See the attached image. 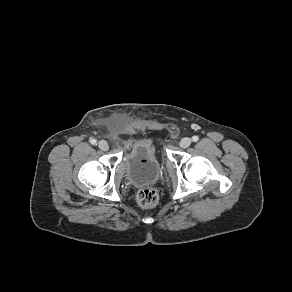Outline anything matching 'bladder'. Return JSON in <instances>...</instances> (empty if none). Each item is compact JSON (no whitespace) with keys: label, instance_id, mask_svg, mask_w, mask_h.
<instances>
[{"label":"bladder","instance_id":"bladder-1","mask_svg":"<svg viewBox=\"0 0 292 292\" xmlns=\"http://www.w3.org/2000/svg\"><path fill=\"white\" fill-rule=\"evenodd\" d=\"M122 164L126 181L136 186L154 183L161 173V164L152 144H134Z\"/></svg>","mask_w":292,"mask_h":292}]
</instances>
